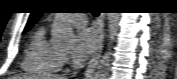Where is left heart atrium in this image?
Returning a JSON list of instances; mask_svg holds the SVG:
<instances>
[{
	"instance_id": "1",
	"label": "left heart atrium",
	"mask_w": 177,
	"mask_h": 79,
	"mask_svg": "<svg viewBox=\"0 0 177 79\" xmlns=\"http://www.w3.org/2000/svg\"><path fill=\"white\" fill-rule=\"evenodd\" d=\"M98 36L92 28H82L78 31L72 55L75 61H85L96 49Z\"/></svg>"
}]
</instances>
